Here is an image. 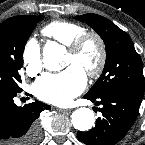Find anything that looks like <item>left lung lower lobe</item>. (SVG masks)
<instances>
[{"label":"left lung lower lobe","mask_w":145,"mask_h":145,"mask_svg":"<svg viewBox=\"0 0 145 145\" xmlns=\"http://www.w3.org/2000/svg\"><path fill=\"white\" fill-rule=\"evenodd\" d=\"M84 98L101 104L102 118L96 120L94 128L78 132L77 137L86 145H114L118 143L134 124L142 98L127 92H113L98 98Z\"/></svg>","instance_id":"1"}]
</instances>
